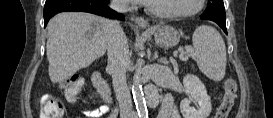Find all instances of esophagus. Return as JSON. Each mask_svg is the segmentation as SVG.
I'll use <instances>...</instances> for the list:
<instances>
[{
  "label": "esophagus",
  "mask_w": 273,
  "mask_h": 118,
  "mask_svg": "<svg viewBox=\"0 0 273 118\" xmlns=\"http://www.w3.org/2000/svg\"><path fill=\"white\" fill-rule=\"evenodd\" d=\"M135 22L138 26L142 27V28H146L148 26V22L146 19L142 18V17H137L135 19Z\"/></svg>",
  "instance_id": "1"
}]
</instances>
